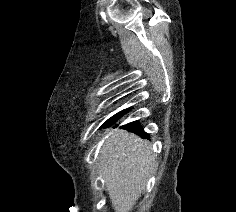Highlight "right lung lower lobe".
<instances>
[{"instance_id": "right-lung-lower-lobe-1", "label": "right lung lower lobe", "mask_w": 236, "mask_h": 212, "mask_svg": "<svg viewBox=\"0 0 236 212\" xmlns=\"http://www.w3.org/2000/svg\"><path fill=\"white\" fill-rule=\"evenodd\" d=\"M127 110H123L119 113H117L116 115H114L112 117V119L107 123V126L113 124L119 117L122 116V114H124ZM126 128L129 130V131H134L135 133L141 135L142 138H148L149 137V134H147L146 132H144V130L142 129L141 125L135 121V122H132V123H129L126 125Z\"/></svg>"}]
</instances>
